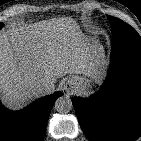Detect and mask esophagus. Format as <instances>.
<instances>
[{"instance_id": "obj_1", "label": "esophagus", "mask_w": 141, "mask_h": 141, "mask_svg": "<svg viewBox=\"0 0 141 141\" xmlns=\"http://www.w3.org/2000/svg\"><path fill=\"white\" fill-rule=\"evenodd\" d=\"M75 83L73 81H68L65 86L64 89L69 92L74 88Z\"/></svg>"}]
</instances>
